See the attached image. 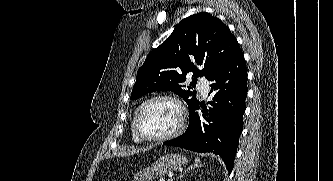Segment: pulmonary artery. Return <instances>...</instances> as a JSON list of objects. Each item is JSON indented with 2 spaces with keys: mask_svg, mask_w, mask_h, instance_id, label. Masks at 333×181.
Listing matches in <instances>:
<instances>
[{
  "mask_svg": "<svg viewBox=\"0 0 333 181\" xmlns=\"http://www.w3.org/2000/svg\"><path fill=\"white\" fill-rule=\"evenodd\" d=\"M199 89L201 90L203 96H206L209 90V82L205 78L199 80Z\"/></svg>",
  "mask_w": 333,
  "mask_h": 181,
  "instance_id": "obj_1",
  "label": "pulmonary artery"
}]
</instances>
